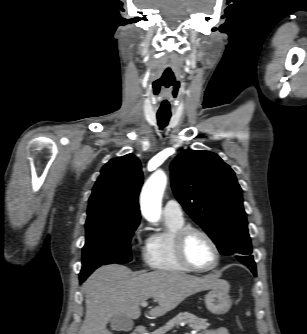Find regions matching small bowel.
I'll use <instances>...</instances> for the list:
<instances>
[{"instance_id":"c3829d8e","label":"small bowel","mask_w":307,"mask_h":334,"mask_svg":"<svg viewBox=\"0 0 307 334\" xmlns=\"http://www.w3.org/2000/svg\"><path fill=\"white\" fill-rule=\"evenodd\" d=\"M203 334H230L228 329L225 327H219L213 330H209Z\"/></svg>"}]
</instances>
